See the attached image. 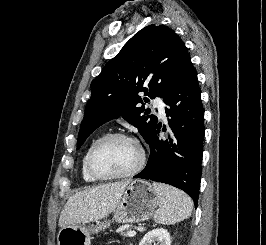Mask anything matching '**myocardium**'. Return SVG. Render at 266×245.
Instances as JSON below:
<instances>
[{"mask_svg": "<svg viewBox=\"0 0 266 245\" xmlns=\"http://www.w3.org/2000/svg\"><path fill=\"white\" fill-rule=\"evenodd\" d=\"M115 138L127 140V141L134 143L138 147V150H139V159H138L136 166L131 171H129L128 173H125L122 175H113V176L103 175L95 167L94 156H95L96 152L98 151V149L105 142H107L111 139H115ZM145 158H146L145 149L138 139H136L135 137H132L126 133H123V132H110V133H106V134L102 135L101 137H99L93 143V145L90 147V149L88 151V155H87V168H88L89 173L95 179H97L99 181L121 180V179L131 178V177L135 176L136 174H138L144 166Z\"/></svg>", "mask_w": 266, "mask_h": 245, "instance_id": "1", "label": "myocardium"}]
</instances>
